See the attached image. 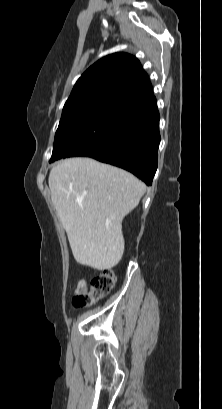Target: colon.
I'll use <instances>...</instances> for the list:
<instances>
[{"instance_id": "5ec220e1", "label": "colon", "mask_w": 222, "mask_h": 409, "mask_svg": "<svg viewBox=\"0 0 222 409\" xmlns=\"http://www.w3.org/2000/svg\"><path fill=\"white\" fill-rule=\"evenodd\" d=\"M116 283V275L111 269H104L94 276L90 282V289L75 294L72 306L75 309L87 308L96 301L108 295Z\"/></svg>"}]
</instances>
